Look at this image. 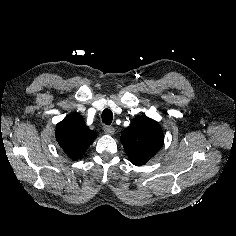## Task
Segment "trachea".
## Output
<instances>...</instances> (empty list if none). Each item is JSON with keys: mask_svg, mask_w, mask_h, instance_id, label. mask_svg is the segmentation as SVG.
<instances>
[{"mask_svg": "<svg viewBox=\"0 0 236 236\" xmlns=\"http://www.w3.org/2000/svg\"><path fill=\"white\" fill-rule=\"evenodd\" d=\"M113 120V113L111 110L109 109H105L102 112V122L106 125H110L112 123Z\"/></svg>", "mask_w": 236, "mask_h": 236, "instance_id": "trachea-1", "label": "trachea"}]
</instances>
